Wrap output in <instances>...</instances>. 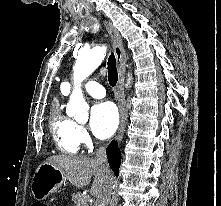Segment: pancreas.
<instances>
[{"label": "pancreas", "mask_w": 221, "mask_h": 206, "mask_svg": "<svg viewBox=\"0 0 221 206\" xmlns=\"http://www.w3.org/2000/svg\"><path fill=\"white\" fill-rule=\"evenodd\" d=\"M88 196L77 192L72 195V201L74 202V206H89L88 204Z\"/></svg>", "instance_id": "cf45deb5"}]
</instances>
